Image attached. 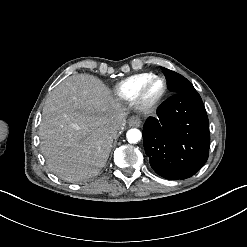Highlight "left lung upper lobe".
I'll list each match as a JSON object with an SVG mask.
<instances>
[{
	"mask_svg": "<svg viewBox=\"0 0 247 247\" xmlns=\"http://www.w3.org/2000/svg\"><path fill=\"white\" fill-rule=\"evenodd\" d=\"M168 82V88L173 93L196 91L193 85L182 75L162 68Z\"/></svg>",
	"mask_w": 247,
	"mask_h": 247,
	"instance_id": "left-lung-upper-lobe-1",
	"label": "left lung upper lobe"
}]
</instances>
